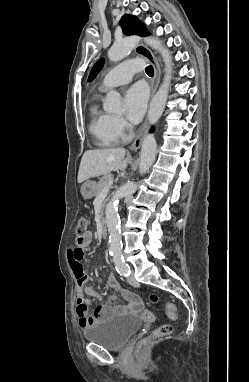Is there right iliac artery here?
Segmentation results:
<instances>
[{
    "label": "right iliac artery",
    "instance_id": "1",
    "mask_svg": "<svg viewBox=\"0 0 249 382\" xmlns=\"http://www.w3.org/2000/svg\"><path fill=\"white\" fill-rule=\"evenodd\" d=\"M110 255H114V251H110Z\"/></svg>",
    "mask_w": 249,
    "mask_h": 382
}]
</instances>
